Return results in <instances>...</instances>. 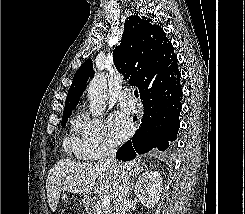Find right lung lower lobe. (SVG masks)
Listing matches in <instances>:
<instances>
[{
	"label": "right lung lower lobe",
	"instance_id": "right-lung-lower-lobe-1",
	"mask_svg": "<svg viewBox=\"0 0 245 214\" xmlns=\"http://www.w3.org/2000/svg\"><path fill=\"white\" fill-rule=\"evenodd\" d=\"M140 97L144 116L132 140L123 144L116 158L129 161L137 154L157 148L165 151L175 141L180 127L182 88L177 60L152 70L143 83Z\"/></svg>",
	"mask_w": 245,
	"mask_h": 214
}]
</instances>
